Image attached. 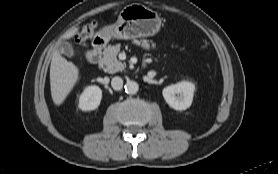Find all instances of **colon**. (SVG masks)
Listing matches in <instances>:
<instances>
[{
    "label": "colon",
    "instance_id": "5ec220e1",
    "mask_svg": "<svg viewBox=\"0 0 278 174\" xmlns=\"http://www.w3.org/2000/svg\"><path fill=\"white\" fill-rule=\"evenodd\" d=\"M94 30H95L94 23H90V24L84 26L80 32V36H79L80 40L85 41L88 38H90L91 35L93 34Z\"/></svg>",
    "mask_w": 278,
    "mask_h": 174
}]
</instances>
